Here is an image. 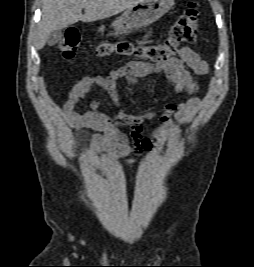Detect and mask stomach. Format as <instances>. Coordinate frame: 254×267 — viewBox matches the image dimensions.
Returning <instances> with one entry per match:
<instances>
[{
  "instance_id": "0dacf381",
  "label": "stomach",
  "mask_w": 254,
  "mask_h": 267,
  "mask_svg": "<svg viewBox=\"0 0 254 267\" xmlns=\"http://www.w3.org/2000/svg\"><path fill=\"white\" fill-rule=\"evenodd\" d=\"M175 5L174 0H144V2L127 9L120 17L113 21V35L119 36L130 33L133 29L148 26Z\"/></svg>"
}]
</instances>
